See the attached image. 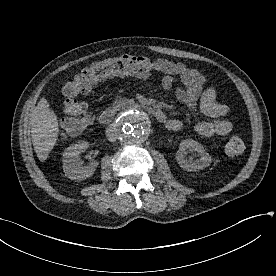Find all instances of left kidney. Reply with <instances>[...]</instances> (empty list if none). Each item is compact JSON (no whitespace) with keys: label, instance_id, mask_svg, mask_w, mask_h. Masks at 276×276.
<instances>
[{"label":"left kidney","instance_id":"1","mask_svg":"<svg viewBox=\"0 0 276 276\" xmlns=\"http://www.w3.org/2000/svg\"><path fill=\"white\" fill-rule=\"evenodd\" d=\"M189 151L198 153L199 159H186L185 155ZM176 160L179 166L188 172L206 168L212 162L211 156L206 152L203 145L193 139H186L180 143L179 150L176 153Z\"/></svg>","mask_w":276,"mask_h":276}]
</instances>
